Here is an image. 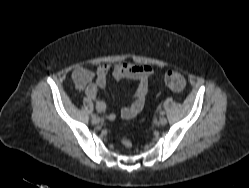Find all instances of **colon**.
<instances>
[{"mask_svg":"<svg viewBox=\"0 0 249 188\" xmlns=\"http://www.w3.org/2000/svg\"><path fill=\"white\" fill-rule=\"evenodd\" d=\"M165 84L173 91L180 92L185 87V79L182 74L176 71H168L164 75ZM121 143L127 147H131V142L127 139H122Z\"/></svg>","mask_w":249,"mask_h":188,"instance_id":"obj_1","label":"colon"}]
</instances>
